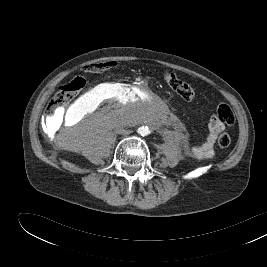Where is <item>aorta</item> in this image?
<instances>
[{
	"mask_svg": "<svg viewBox=\"0 0 267 267\" xmlns=\"http://www.w3.org/2000/svg\"><path fill=\"white\" fill-rule=\"evenodd\" d=\"M138 133L140 134V135H142V136H146V135H148L149 133H150V131H149V129H148V127H140L139 129H138Z\"/></svg>",
	"mask_w": 267,
	"mask_h": 267,
	"instance_id": "1",
	"label": "aorta"
}]
</instances>
